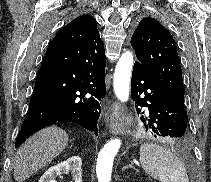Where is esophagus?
Returning a JSON list of instances; mask_svg holds the SVG:
<instances>
[{
	"label": "esophagus",
	"mask_w": 211,
	"mask_h": 182,
	"mask_svg": "<svg viewBox=\"0 0 211 182\" xmlns=\"http://www.w3.org/2000/svg\"><path fill=\"white\" fill-rule=\"evenodd\" d=\"M114 107L120 108V105L119 104H115Z\"/></svg>",
	"instance_id": "esophagus-1"
}]
</instances>
